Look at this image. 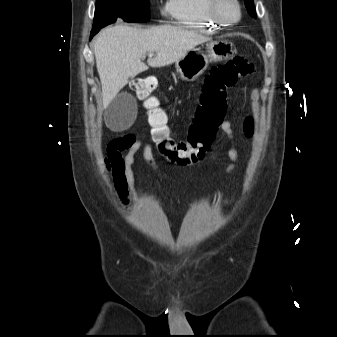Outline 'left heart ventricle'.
Returning a JSON list of instances; mask_svg holds the SVG:
<instances>
[{"mask_svg": "<svg viewBox=\"0 0 337 337\" xmlns=\"http://www.w3.org/2000/svg\"><path fill=\"white\" fill-rule=\"evenodd\" d=\"M224 12L229 18H235L237 16L236 8L231 3H226L224 5Z\"/></svg>", "mask_w": 337, "mask_h": 337, "instance_id": "obj_1", "label": "left heart ventricle"}]
</instances>
